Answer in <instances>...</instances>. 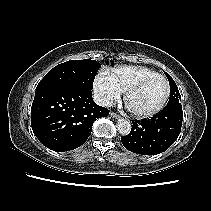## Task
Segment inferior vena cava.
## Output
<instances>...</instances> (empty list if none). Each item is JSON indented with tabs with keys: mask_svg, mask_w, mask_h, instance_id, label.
<instances>
[{
	"mask_svg": "<svg viewBox=\"0 0 211 211\" xmlns=\"http://www.w3.org/2000/svg\"><path fill=\"white\" fill-rule=\"evenodd\" d=\"M93 99L96 104H98L99 106H103V107L110 106L112 103V101L109 98L102 96L100 94H95Z\"/></svg>",
	"mask_w": 211,
	"mask_h": 211,
	"instance_id": "inferior-vena-cava-1",
	"label": "inferior vena cava"
}]
</instances>
